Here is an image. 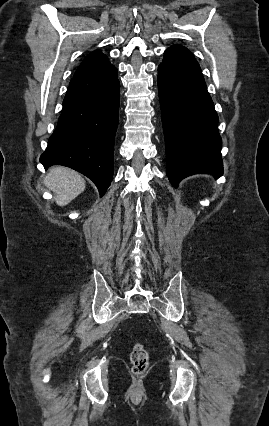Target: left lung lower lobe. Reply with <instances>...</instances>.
Segmentation results:
<instances>
[{"label": "left lung lower lobe", "instance_id": "obj_1", "mask_svg": "<svg viewBox=\"0 0 269 426\" xmlns=\"http://www.w3.org/2000/svg\"><path fill=\"white\" fill-rule=\"evenodd\" d=\"M167 176L174 187L193 174L221 176L218 116L192 53L175 44L158 67Z\"/></svg>", "mask_w": 269, "mask_h": 426}]
</instances>
